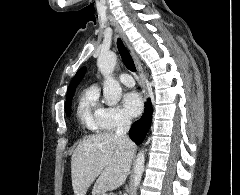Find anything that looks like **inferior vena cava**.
Listing matches in <instances>:
<instances>
[{
	"label": "inferior vena cava",
	"instance_id": "obj_1",
	"mask_svg": "<svg viewBox=\"0 0 240 195\" xmlns=\"http://www.w3.org/2000/svg\"><path fill=\"white\" fill-rule=\"evenodd\" d=\"M131 125V119L129 115H122L117 127H116V137L119 139H123L125 143H131V139H129L127 135V131H129ZM126 195V193H124Z\"/></svg>",
	"mask_w": 240,
	"mask_h": 195
}]
</instances>
